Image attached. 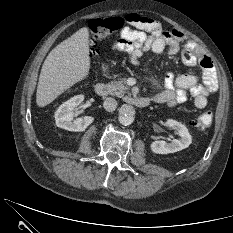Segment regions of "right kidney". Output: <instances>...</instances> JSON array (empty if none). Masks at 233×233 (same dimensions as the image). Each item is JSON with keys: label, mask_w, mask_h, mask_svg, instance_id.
I'll list each match as a JSON object with an SVG mask.
<instances>
[{"label": "right kidney", "mask_w": 233, "mask_h": 233, "mask_svg": "<svg viewBox=\"0 0 233 233\" xmlns=\"http://www.w3.org/2000/svg\"><path fill=\"white\" fill-rule=\"evenodd\" d=\"M83 100V95H77L59 106L54 114L57 127L68 131L81 132L84 131L94 121V118L91 116H85L83 118L73 120L72 111L78 105H80Z\"/></svg>", "instance_id": "right-kidney-1"}]
</instances>
